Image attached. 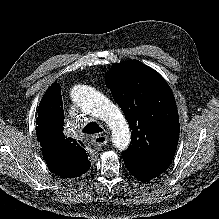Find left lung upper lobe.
I'll return each instance as SVG.
<instances>
[{"label": "left lung upper lobe", "instance_id": "1", "mask_svg": "<svg viewBox=\"0 0 219 219\" xmlns=\"http://www.w3.org/2000/svg\"><path fill=\"white\" fill-rule=\"evenodd\" d=\"M105 83L132 131L130 148L122 156L171 163L179 139V117L166 81L140 61L129 60L114 64Z\"/></svg>", "mask_w": 219, "mask_h": 219}]
</instances>
